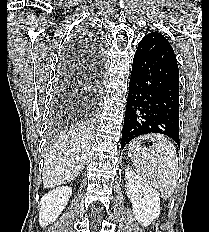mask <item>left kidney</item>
<instances>
[{
    "label": "left kidney",
    "instance_id": "obj_1",
    "mask_svg": "<svg viewBox=\"0 0 209 232\" xmlns=\"http://www.w3.org/2000/svg\"><path fill=\"white\" fill-rule=\"evenodd\" d=\"M125 180L134 217L140 224L147 227L160 215L159 193L145 179L129 169L125 171Z\"/></svg>",
    "mask_w": 209,
    "mask_h": 232
}]
</instances>
